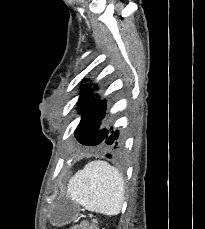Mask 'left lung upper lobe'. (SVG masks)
I'll list each match as a JSON object with an SVG mask.
<instances>
[{
	"mask_svg": "<svg viewBox=\"0 0 205 229\" xmlns=\"http://www.w3.org/2000/svg\"><path fill=\"white\" fill-rule=\"evenodd\" d=\"M91 92V85L86 86L82 99L78 102V107L83 108V111L81 121L75 130V137L83 145H103V140L97 141V138L102 134L98 128L105 117L106 103L93 98Z\"/></svg>",
	"mask_w": 205,
	"mask_h": 229,
	"instance_id": "left-lung-upper-lobe-1",
	"label": "left lung upper lobe"
}]
</instances>
